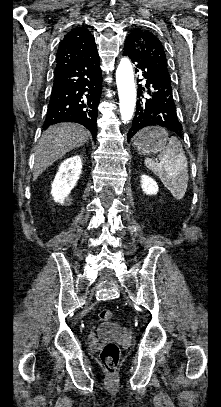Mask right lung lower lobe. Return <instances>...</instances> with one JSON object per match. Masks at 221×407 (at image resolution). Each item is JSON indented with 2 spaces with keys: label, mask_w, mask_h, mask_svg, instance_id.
Wrapping results in <instances>:
<instances>
[{
  "label": "right lung lower lobe",
  "mask_w": 221,
  "mask_h": 407,
  "mask_svg": "<svg viewBox=\"0 0 221 407\" xmlns=\"http://www.w3.org/2000/svg\"><path fill=\"white\" fill-rule=\"evenodd\" d=\"M101 92L100 60L95 49L90 57L55 73L44 129L60 122H76L96 140Z\"/></svg>",
  "instance_id": "obj_1"
}]
</instances>
